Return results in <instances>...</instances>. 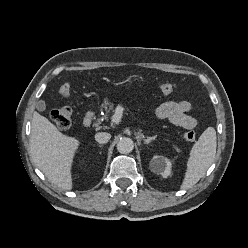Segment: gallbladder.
Returning <instances> with one entry per match:
<instances>
[{
	"label": "gallbladder",
	"instance_id": "1",
	"mask_svg": "<svg viewBox=\"0 0 248 248\" xmlns=\"http://www.w3.org/2000/svg\"><path fill=\"white\" fill-rule=\"evenodd\" d=\"M36 108H37L38 111H41V112L44 111L46 109L45 102L42 101V100L38 101L37 104H36Z\"/></svg>",
	"mask_w": 248,
	"mask_h": 248
}]
</instances>
